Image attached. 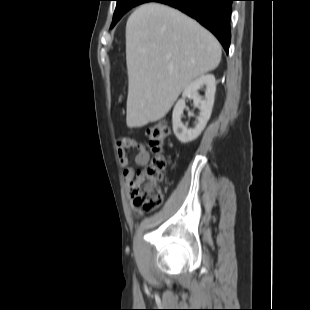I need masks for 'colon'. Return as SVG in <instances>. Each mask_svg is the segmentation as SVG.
Listing matches in <instances>:
<instances>
[{
    "label": "colon",
    "mask_w": 310,
    "mask_h": 310,
    "mask_svg": "<svg viewBox=\"0 0 310 310\" xmlns=\"http://www.w3.org/2000/svg\"><path fill=\"white\" fill-rule=\"evenodd\" d=\"M169 133V126L163 122L155 123L147 129L148 144L155 156L147 166L137 170L129 182L133 204L145 211L155 210L163 202L164 191L160 183L166 160L161 150Z\"/></svg>",
    "instance_id": "obj_1"
}]
</instances>
